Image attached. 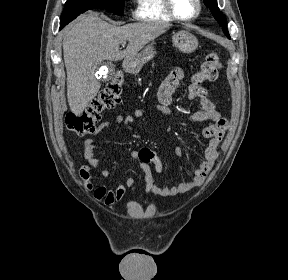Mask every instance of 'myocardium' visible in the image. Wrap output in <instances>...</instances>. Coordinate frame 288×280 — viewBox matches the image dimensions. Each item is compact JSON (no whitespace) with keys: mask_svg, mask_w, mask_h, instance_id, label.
I'll return each mask as SVG.
<instances>
[{"mask_svg":"<svg viewBox=\"0 0 288 280\" xmlns=\"http://www.w3.org/2000/svg\"><path fill=\"white\" fill-rule=\"evenodd\" d=\"M163 2H164V7L168 15L173 20L178 21V22H183V23L192 22L196 20L202 12V0H196L197 10H196V13L190 18H182L179 15H177L173 6V0H163Z\"/></svg>","mask_w":288,"mask_h":280,"instance_id":"f54148a6","label":"myocardium"}]
</instances>
